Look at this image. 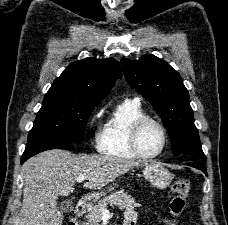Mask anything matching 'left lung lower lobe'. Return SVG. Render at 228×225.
<instances>
[{
  "mask_svg": "<svg viewBox=\"0 0 228 225\" xmlns=\"http://www.w3.org/2000/svg\"><path fill=\"white\" fill-rule=\"evenodd\" d=\"M188 165L191 166V167H194V168H197V169L201 170L207 176V171H206V169H205V167L203 165V162L195 161V162L190 163Z\"/></svg>",
  "mask_w": 228,
  "mask_h": 225,
  "instance_id": "left-lung-lower-lobe-1",
  "label": "left lung lower lobe"
}]
</instances>
